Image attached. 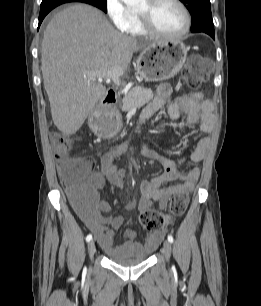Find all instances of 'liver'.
<instances>
[{"instance_id":"obj_1","label":"liver","mask_w":261,"mask_h":306,"mask_svg":"<svg viewBox=\"0 0 261 306\" xmlns=\"http://www.w3.org/2000/svg\"><path fill=\"white\" fill-rule=\"evenodd\" d=\"M152 45L119 33L99 9L76 4L54 15L41 45L43 83L56 127L75 134L106 89L94 72L125 71L133 53Z\"/></svg>"}]
</instances>
